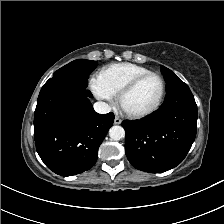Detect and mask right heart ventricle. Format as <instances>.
I'll use <instances>...</instances> for the list:
<instances>
[{"label": "right heart ventricle", "mask_w": 224, "mask_h": 224, "mask_svg": "<svg viewBox=\"0 0 224 224\" xmlns=\"http://www.w3.org/2000/svg\"><path fill=\"white\" fill-rule=\"evenodd\" d=\"M149 72L151 71L145 67L123 62L111 64L103 68L98 77L106 90L112 95H117L132 79Z\"/></svg>", "instance_id": "obj_1"}]
</instances>
